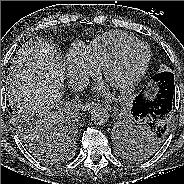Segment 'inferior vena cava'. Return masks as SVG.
I'll return each mask as SVG.
<instances>
[{
  "label": "inferior vena cava",
  "instance_id": "602c4592",
  "mask_svg": "<svg viewBox=\"0 0 184 184\" xmlns=\"http://www.w3.org/2000/svg\"><path fill=\"white\" fill-rule=\"evenodd\" d=\"M68 83L74 91H82L87 87L89 79L85 76L73 75L69 77Z\"/></svg>",
  "mask_w": 184,
  "mask_h": 184
}]
</instances>
